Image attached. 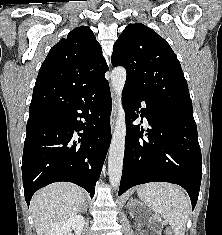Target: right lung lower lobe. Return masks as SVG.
Here are the masks:
<instances>
[{"label": "right lung lower lobe", "instance_id": "98d812e1", "mask_svg": "<svg viewBox=\"0 0 222 235\" xmlns=\"http://www.w3.org/2000/svg\"><path fill=\"white\" fill-rule=\"evenodd\" d=\"M34 98L50 108L51 120L27 129L22 176L28 206L38 189L58 181L75 183L93 198L111 142L108 81L104 77L62 95L50 87L39 89Z\"/></svg>", "mask_w": 222, "mask_h": 235}]
</instances>
